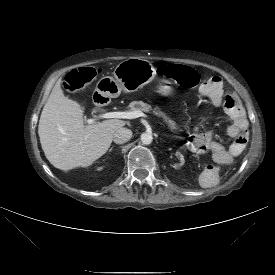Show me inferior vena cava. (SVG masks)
Here are the masks:
<instances>
[{
    "instance_id": "602c4592",
    "label": "inferior vena cava",
    "mask_w": 275,
    "mask_h": 275,
    "mask_svg": "<svg viewBox=\"0 0 275 275\" xmlns=\"http://www.w3.org/2000/svg\"><path fill=\"white\" fill-rule=\"evenodd\" d=\"M132 137V131L127 128L118 129L113 135V141L116 144H123L129 141Z\"/></svg>"
}]
</instances>
